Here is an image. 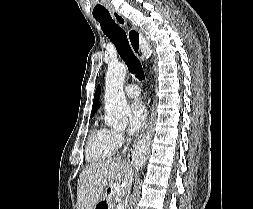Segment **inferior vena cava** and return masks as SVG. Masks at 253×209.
<instances>
[{
    "mask_svg": "<svg viewBox=\"0 0 253 209\" xmlns=\"http://www.w3.org/2000/svg\"><path fill=\"white\" fill-rule=\"evenodd\" d=\"M130 142H131V138H128V139H127V145H129ZM126 150H127V146L124 147V149H123V151H122V154H123V155L126 153ZM117 158H118V159H121V155H117ZM130 183H131V182H130Z\"/></svg>",
    "mask_w": 253,
    "mask_h": 209,
    "instance_id": "obj_1",
    "label": "inferior vena cava"
}]
</instances>
